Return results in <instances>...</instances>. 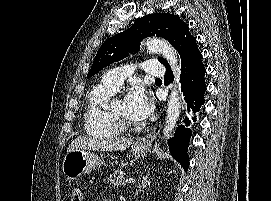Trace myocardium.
<instances>
[{"label":"myocardium","instance_id":"obj_1","mask_svg":"<svg viewBox=\"0 0 271 201\" xmlns=\"http://www.w3.org/2000/svg\"><path fill=\"white\" fill-rule=\"evenodd\" d=\"M118 100V98L114 99L112 101L111 106L109 107L108 111L114 120V122L122 129V130H129V131H137L140 130L143 127V124L137 123V122H131L122 116H120L118 113H116L113 109V103Z\"/></svg>","mask_w":271,"mask_h":201}]
</instances>
